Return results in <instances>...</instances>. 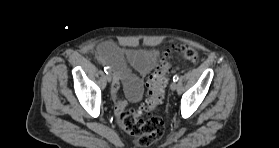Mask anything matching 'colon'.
<instances>
[{
	"instance_id": "1",
	"label": "colon",
	"mask_w": 279,
	"mask_h": 148,
	"mask_svg": "<svg viewBox=\"0 0 279 148\" xmlns=\"http://www.w3.org/2000/svg\"><path fill=\"white\" fill-rule=\"evenodd\" d=\"M173 53L179 54L193 64L198 61V53L191 47L173 46L170 48L162 64L148 76L144 103L138 108L123 111L118 116L121 128L135 138L138 147H147L161 139L164 134L163 119L150 114L162 103L171 68L169 58Z\"/></svg>"
}]
</instances>
